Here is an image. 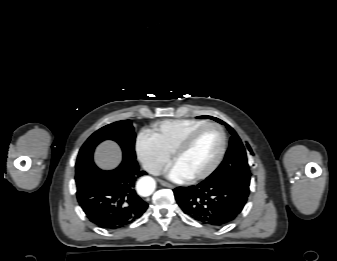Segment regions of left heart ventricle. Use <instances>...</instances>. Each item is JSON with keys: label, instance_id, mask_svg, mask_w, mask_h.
<instances>
[{"label": "left heart ventricle", "instance_id": "1", "mask_svg": "<svg viewBox=\"0 0 337 261\" xmlns=\"http://www.w3.org/2000/svg\"><path fill=\"white\" fill-rule=\"evenodd\" d=\"M221 135L215 128L203 130L175 164L189 177L208 168L221 147Z\"/></svg>", "mask_w": 337, "mask_h": 261}]
</instances>
